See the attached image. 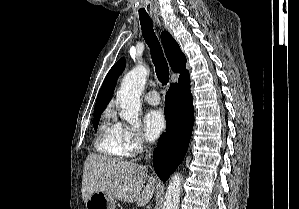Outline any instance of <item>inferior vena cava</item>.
Returning a JSON list of instances; mask_svg holds the SVG:
<instances>
[{
    "mask_svg": "<svg viewBox=\"0 0 299 209\" xmlns=\"http://www.w3.org/2000/svg\"><path fill=\"white\" fill-rule=\"evenodd\" d=\"M151 155H152V154H147V155H146V158L150 160V159H151Z\"/></svg>",
    "mask_w": 299,
    "mask_h": 209,
    "instance_id": "602c4592",
    "label": "inferior vena cava"
}]
</instances>
